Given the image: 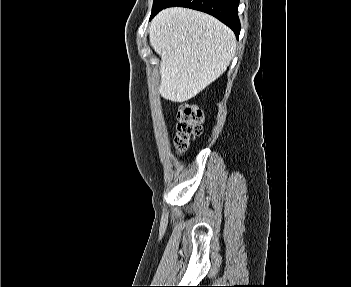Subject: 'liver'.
<instances>
[{
  "label": "liver",
  "mask_w": 351,
  "mask_h": 287,
  "mask_svg": "<svg viewBox=\"0 0 351 287\" xmlns=\"http://www.w3.org/2000/svg\"><path fill=\"white\" fill-rule=\"evenodd\" d=\"M150 44L161 57L159 91L172 102H185L218 79L234 57L233 31L214 17L171 7L154 17Z\"/></svg>",
  "instance_id": "liver-1"
}]
</instances>
